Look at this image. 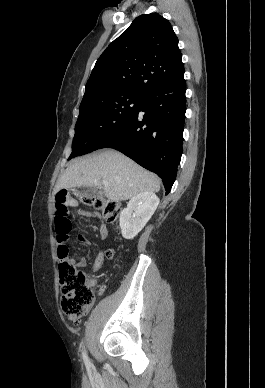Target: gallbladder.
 I'll return each instance as SVG.
<instances>
[{
	"instance_id": "bac80fb5",
	"label": "gallbladder",
	"mask_w": 265,
	"mask_h": 388,
	"mask_svg": "<svg viewBox=\"0 0 265 388\" xmlns=\"http://www.w3.org/2000/svg\"><path fill=\"white\" fill-rule=\"evenodd\" d=\"M74 194H80V196H85V198H93L97 194V190L94 188H76L73 190Z\"/></svg>"
}]
</instances>
